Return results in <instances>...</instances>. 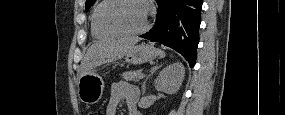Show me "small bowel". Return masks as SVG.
I'll list each match as a JSON object with an SVG mask.
<instances>
[{"label": "small bowel", "instance_id": "small-bowel-1", "mask_svg": "<svg viewBox=\"0 0 285 115\" xmlns=\"http://www.w3.org/2000/svg\"><path fill=\"white\" fill-rule=\"evenodd\" d=\"M138 92L131 84L119 81L115 82L111 87L110 98L106 107V115H116L118 106L125 102L127 104L129 115H138L136 102Z\"/></svg>", "mask_w": 285, "mask_h": 115}]
</instances>
